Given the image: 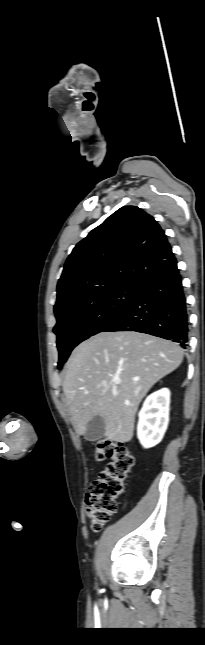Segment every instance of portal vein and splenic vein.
<instances>
[{
    "label": "portal vein and splenic vein",
    "mask_w": 205,
    "mask_h": 645,
    "mask_svg": "<svg viewBox=\"0 0 205 645\" xmlns=\"http://www.w3.org/2000/svg\"><path fill=\"white\" fill-rule=\"evenodd\" d=\"M114 382H115V384H120V380H119V379H115V380H114Z\"/></svg>",
    "instance_id": "portal-vein-and-splenic-vein-1"
}]
</instances>
